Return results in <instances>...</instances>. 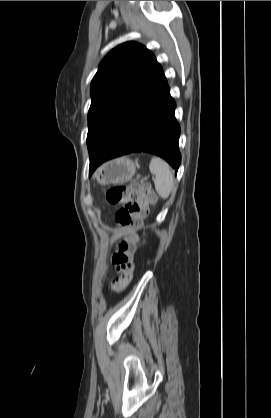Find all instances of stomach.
Returning <instances> with one entry per match:
<instances>
[{
  "label": "stomach",
  "mask_w": 271,
  "mask_h": 418,
  "mask_svg": "<svg viewBox=\"0 0 271 418\" xmlns=\"http://www.w3.org/2000/svg\"><path fill=\"white\" fill-rule=\"evenodd\" d=\"M136 173V164L127 157L117 158L100 166L94 178L101 185L123 184Z\"/></svg>",
  "instance_id": "stomach-1"
}]
</instances>
